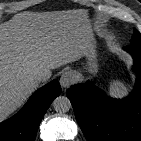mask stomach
<instances>
[{
	"instance_id": "obj_1",
	"label": "stomach",
	"mask_w": 141,
	"mask_h": 141,
	"mask_svg": "<svg viewBox=\"0 0 141 141\" xmlns=\"http://www.w3.org/2000/svg\"><path fill=\"white\" fill-rule=\"evenodd\" d=\"M83 56L87 59L86 70L89 74L95 75L98 72L97 53L93 37L90 36L86 42Z\"/></svg>"
}]
</instances>
